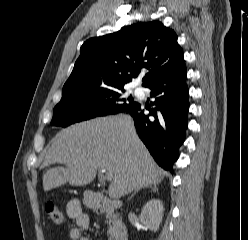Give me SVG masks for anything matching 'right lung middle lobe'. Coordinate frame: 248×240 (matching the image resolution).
I'll return each instance as SVG.
<instances>
[{
	"label": "right lung middle lobe",
	"instance_id": "obj_1",
	"mask_svg": "<svg viewBox=\"0 0 248 240\" xmlns=\"http://www.w3.org/2000/svg\"><path fill=\"white\" fill-rule=\"evenodd\" d=\"M124 89H63L62 99L53 110L51 125L66 127L91 118L120 113L136 104L124 97Z\"/></svg>",
	"mask_w": 248,
	"mask_h": 240
}]
</instances>
